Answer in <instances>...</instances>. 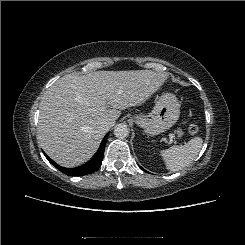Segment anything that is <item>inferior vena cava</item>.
<instances>
[{
  "instance_id": "1",
  "label": "inferior vena cava",
  "mask_w": 245,
  "mask_h": 245,
  "mask_svg": "<svg viewBox=\"0 0 245 245\" xmlns=\"http://www.w3.org/2000/svg\"><path fill=\"white\" fill-rule=\"evenodd\" d=\"M115 124V121L112 119H107L105 121H103L100 125L101 129L104 131H108L111 127H113Z\"/></svg>"
}]
</instances>
